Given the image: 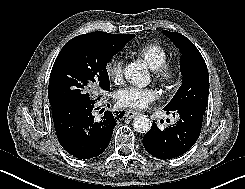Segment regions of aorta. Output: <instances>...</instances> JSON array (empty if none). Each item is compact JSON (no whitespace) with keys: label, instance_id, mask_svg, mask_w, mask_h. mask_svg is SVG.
<instances>
[{"label":"aorta","instance_id":"1","mask_svg":"<svg viewBox=\"0 0 245 189\" xmlns=\"http://www.w3.org/2000/svg\"><path fill=\"white\" fill-rule=\"evenodd\" d=\"M125 79L139 87H145L150 83L148 70L140 63L133 62L128 64L124 69ZM152 122L147 115H138L133 120V127L139 133L150 131Z\"/></svg>","mask_w":245,"mask_h":189}]
</instances>
